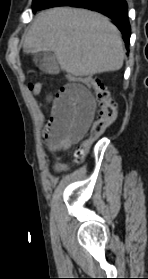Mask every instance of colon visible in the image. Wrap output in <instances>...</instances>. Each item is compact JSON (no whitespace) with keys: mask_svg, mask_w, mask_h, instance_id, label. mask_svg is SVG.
<instances>
[{"mask_svg":"<svg viewBox=\"0 0 148 279\" xmlns=\"http://www.w3.org/2000/svg\"><path fill=\"white\" fill-rule=\"evenodd\" d=\"M71 81L91 89L94 93L98 112L91 127L90 138H96L116 120L117 106L103 82L96 76L73 77ZM29 89L34 95H45L44 87L41 83H30ZM87 152L88 146L81 147L77 152L76 162H82Z\"/></svg>","mask_w":148,"mask_h":279,"instance_id":"colon-1","label":"colon"}]
</instances>
